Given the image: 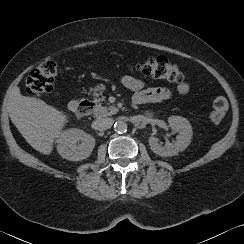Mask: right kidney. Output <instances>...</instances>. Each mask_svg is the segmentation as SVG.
I'll list each match as a JSON object with an SVG mask.
<instances>
[{"label": "right kidney", "instance_id": "ca27d5eb", "mask_svg": "<svg viewBox=\"0 0 244 244\" xmlns=\"http://www.w3.org/2000/svg\"><path fill=\"white\" fill-rule=\"evenodd\" d=\"M56 143L61 157L69 161H81L90 156L95 146V139L83 130L71 128L61 132Z\"/></svg>", "mask_w": 244, "mask_h": 244}]
</instances>
